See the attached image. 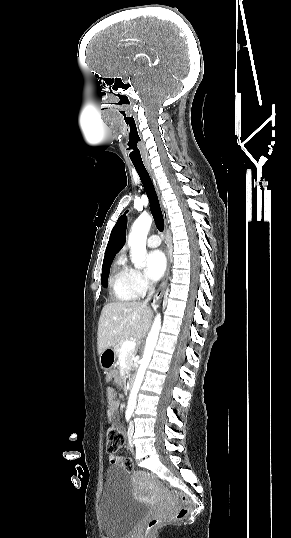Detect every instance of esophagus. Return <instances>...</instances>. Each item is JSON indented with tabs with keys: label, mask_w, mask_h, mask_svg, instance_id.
<instances>
[{
	"label": "esophagus",
	"mask_w": 291,
	"mask_h": 538,
	"mask_svg": "<svg viewBox=\"0 0 291 538\" xmlns=\"http://www.w3.org/2000/svg\"><path fill=\"white\" fill-rule=\"evenodd\" d=\"M146 168H147V171L150 175V178L152 180V183L154 185V188L158 194V197H159V200H160V203H161V207H162V213H163V218H164V222H165V244H166V256H167V267H166V272H165V275L163 277V280L162 282L160 283V286L158 288V290L156 291L155 295H154V298H153V302L154 303H157L160 298L162 297L163 295V292L166 288V285H167V281H168V278H169V273H170V267H171V249H170V243H169V237H168V215H167V212L165 210V207L163 205V202L161 200V196H160V190H159V186H158V182H157V179L154 175V172L151 168V166L149 164L146 165Z\"/></svg>",
	"instance_id": "obj_1"
}]
</instances>
